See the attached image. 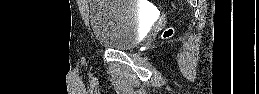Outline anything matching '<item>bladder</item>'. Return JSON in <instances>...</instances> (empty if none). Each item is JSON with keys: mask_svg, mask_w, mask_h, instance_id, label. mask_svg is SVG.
I'll list each match as a JSON object with an SVG mask.
<instances>
[{"mask_svg": "<svg viewBox=\"0 0 259 94\" xmlns=\"http://www.w3.org/2000/svg\"><path fill=\"white\" fill-rule=\"evenodd\" d=\"M89 22L100 46L129 50L142 39L145 16L134 0H93L89 4Z\"/></svg>", "mask_w": 259, "mask_h": 94, "instance_id": "bladder-1", "label": "bladder"}]
</instances>
